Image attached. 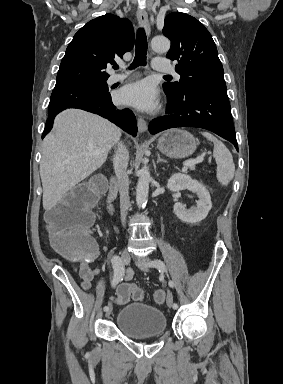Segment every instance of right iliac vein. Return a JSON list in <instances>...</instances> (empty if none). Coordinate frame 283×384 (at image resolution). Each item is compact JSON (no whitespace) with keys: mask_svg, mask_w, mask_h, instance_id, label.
<instances>
[{"mask_svg":"<svg viewBox=\"0 0 283 384\" xmlns=\"http://www.w3.org/2000/svg\"><path fill=\"white\" fill-rule=\"evenodd\" d=\"M130 261V254L129 252L125 249L122 251L121 253V262L124 264V265H127ZM112 312V307H109L108 310L105 311V316L108 317ZM98 354V349H95L94 351V355H97Z\"/></svg>","mask_w":283,"mask_h":384,"instance_id":"right-iliac-vein-1","label":"right iliac vein"}]
</instances>
